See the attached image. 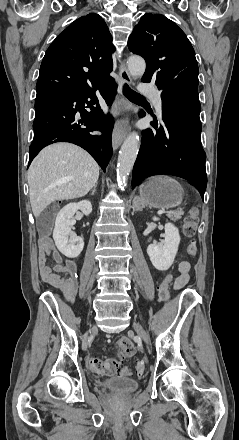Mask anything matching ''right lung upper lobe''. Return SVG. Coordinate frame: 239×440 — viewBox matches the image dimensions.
I'll use <instances>...</instances> for the list:
<instances>
[{
	"mask_svg": "<svg viewBox=\"0 0 239 440\" xmlns=\"http://www.w3.org/2000/svg\"><path fill=\"white\" fill-rule=\"evenodd\" d=\"M112 36L98 14L82 16L47 49L36 84L38 93L87 89L110 78Z\"/></svg>",
	"mask_w": 239,
	"mask_h": 440,
	"instance_id": "cb5924a9",
	"label": "right lung upper lobe"
}]
</instances>
